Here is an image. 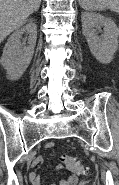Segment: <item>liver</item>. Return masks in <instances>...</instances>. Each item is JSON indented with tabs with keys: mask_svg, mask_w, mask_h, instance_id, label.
I'll return each mask as SVG.
<instances>
[{
	"mask_svg": "<svg viewBox=\"0 0 119 185\" xmlns=\"http://www.w3.org/2000/svg\"><path fill=\"white\" fill-rule=\"evenodd\" d=\"M40 4L41 0H0V43L23 26Z\"/></svg>",
	"mask_w": 119,
	"mask_h": 185,
	"instance_id": "liver-1",
	"label": "liver"
}]
</instances>
